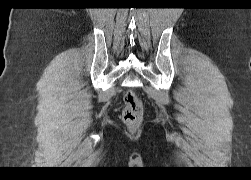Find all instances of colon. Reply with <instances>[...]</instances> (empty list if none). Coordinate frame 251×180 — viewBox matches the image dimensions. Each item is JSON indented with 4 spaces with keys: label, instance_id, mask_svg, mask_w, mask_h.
<instances>
[{
    "label": "colon",
    "instance_id": "colon-1",
    "mask_svg": "<svg viewBox=\"0 0 251 180\" xmlns=\"http://www.w3.org/2000/svg\"><path fill=\"white\" fill-rule=\"evenodd\" d=\"M143 118V105L138 95L128 91L124 96L122 119L131 128L138 127Z\"/></svg>",
    "mask_w": 251,
    "mask_h": 180
}]
</instances>
